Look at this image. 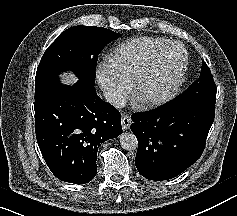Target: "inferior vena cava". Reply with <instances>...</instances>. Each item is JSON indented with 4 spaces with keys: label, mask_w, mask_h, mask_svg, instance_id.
<instances>
[{
    "label": "inferior vena cava",
    "mask_w": 237,
    "mask_h": 216,
    "mask_svg": "<svg viewBox=\"0 0 237 216\" xmlns=\"http://www.w3.org/2000/svg\"><path fill=\"white\" fill-rule=\"evenodd\" d=\"M105 102L109 103L116 109L124 108L127 104L126 98L119 92L113 89L104 90L102 92Z\"/></svg>",
    "instance_id": "1"
}]
</instances>
